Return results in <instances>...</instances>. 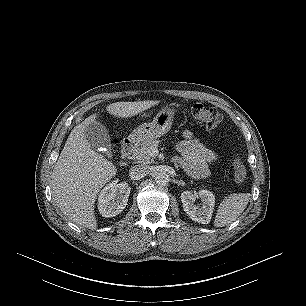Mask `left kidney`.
Here are the masks:
<instances>
[{
    "label": "left kidney",
    "mask_w": 306,
    "mask_h": 306,
    "mask_svg": "<svg viewBox=\"0 0 306 306\" xmlns=\"http://www.w3.org/2000/svg\"><path fill=\"white\" fill-rule=\"evenodd\" d=\"M196 197L201 199V206L194 204ZM181 201L184 211L193 221L201 224L210 223L215 205V195L212 192L201 189L195 196L190 191H184L181 193Z\"/></svg>",
    "instance_id": "left-kidney-1"
}]
</instances>
